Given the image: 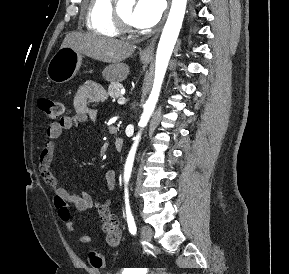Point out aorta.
Returning a JSON list of instances; mask_svg holds the SVG:
<instances>
[{"mask_svg":"<svg viewBox=\"0 0 289 274\" xmlns=\"http://www.w3.org/2000/svg\"><path fill=\"white\" fill-rule=\"evenodd\" d=\"M186 5L187 0H172L171 9L156 52L155 77L153 87L149 98L144 105L143 114L139 122V125L142 127L147 125L158 101L168 63L182 26ZM139 139L140 134L135 137L134 144L125 163L124 179L126 182L130 178Z\"/></svg>","mask_w":289,"mask_h":274,"instance_id":"1","label":"aorta"}]
</instances>
